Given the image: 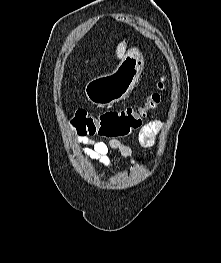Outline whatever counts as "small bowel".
<instances>
[{
	"label": "small bowel",
	"instance_id": "c3829d8e",
	"mask_svg": "<svg viewBox=\"0 0 221 263\" xmlns=\"http://www.w3.org/2000/svg\"><path fill=\"white\" fill-rule=\"evenodd\" d=\"M163 123L161 121H152L145 124L139 129L138 141L144 147H150L155 143V134L162 128ZM74 141L78 144L87 145L80 148L81 155L99 161L105 168H108L111 164L109 154L111 150H117L120 154L127 158L131 164L135 163L132 149L123 144L117 139H111L107 142L98 141L92 142L86 137L77 136Z\"/></svg>",
	"mask_w": 221,
	"mask_h": 263
}]
</instances>
